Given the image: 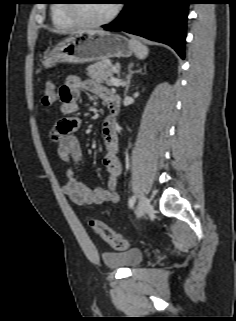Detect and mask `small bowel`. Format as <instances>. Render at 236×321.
Segmentation results:
<instances>
[{"label":"small bowel","mask_w":236,"mask_h":321,"mask_svg":"<svg viewBox=\"0 0 236 321\" xmlns=\"http://www.w3.org/2000/svg\"><path fill=\"white\" fill-rule=\"evenodd\" d=\"M87 91L101 100L108 102L111 91L96 80H81L79 76L70 75L59 90L61 99L59 119L51 129L50 137L57 144L59 157L66 163L74 165L66 171V183L63 192L76 205L94 207L105 202L119 200L118 180L122 165L118 157L119 134L116 120L108 115L102 124V137L105 144L103 164L108 172L107 188L90 189L79 180L78 167L83 164V155L76 132L80 119L73 114L79 109L78 101L81 91Z\"/></svg>","instance_id":"obj_1"}]
</instances>
